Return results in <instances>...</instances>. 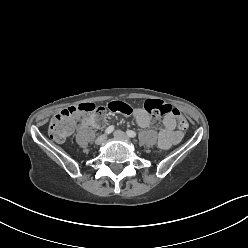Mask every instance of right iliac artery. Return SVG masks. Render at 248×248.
Listing matches in <instances>:
<instances>
[{
    "mask_svg": "<svg viewBox=\"0 0 248 248\" xmlns=\"http://www.w3.org/2000/svg\"><path fill=\"white\" fill-rule=\"evenodd\" d=\"M113 130H114V126L111 125V126H109V127L106 128L105 133L106 134H110V133L113 132Z\"/></svg>",
    "mask_w": 248,
    "mask_h": 248,
    "instance_id": "right-iliac-artery-1",
    "label": "right iliac artery"
}]
</instances>
